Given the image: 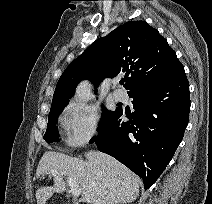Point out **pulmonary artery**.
I'll return each mask as SVG.
<instances>
[{
    "instance_id": "e3ab8cb5",
    "label": "pulmonary artery",
    "mask_w": 212,
    "mask_h": 204,
    "mask_svg": "<svg viewBox=\"0 0 212 204\" xmlns=\"http://www.w3.org/2000/svg\"><path fill=\"white\" fill-rule=\"evenodd\" d=\"M113 98L115 101H123L126 98V95L122 90L115 89L113 91Z\"/></svg>"
}]
</instances>
